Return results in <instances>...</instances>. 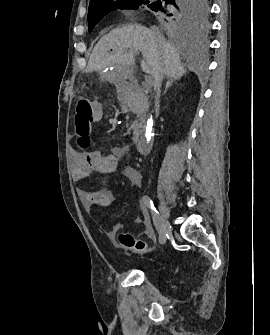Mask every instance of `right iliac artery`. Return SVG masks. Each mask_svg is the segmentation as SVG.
I'll return each mask as SVG.
<instances>
[{
	"mask_svg": "<svg viewBox=\"0 0 270 335\" xmlns=\"http://www.w3.org/2000/svg\"><path fill=\"white\" fill-rule=\"evenodd\" d=\"M143 204L148 207L151 211L153 223L155 225L156 230L159 233V243L163 244L166 241V233L164 231V228L162 226V217L160 216L159 212L156 210L152 199L145 195L142 197Z\"/></svg>",
	"mask_w": 270,
	"mask_h": 335,
	"instance_id": "1",
	"label": "right iliac artery"
}]
</instances>
